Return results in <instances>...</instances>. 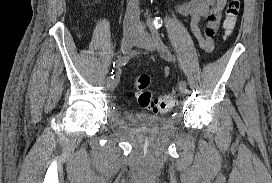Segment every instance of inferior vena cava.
<instances>
[{"instance_id":"obj_1","label":"inferior vena cava","mask_w":272,"mask_h":183,"mask_svg":"<svg viewBox=\"0 0 272 183\" xmlns=\"http://www.w3.org/2000/svg\"><path fill=\"white\" fill-rule=\"evenodd\" d=\"M140 11L139 8L136 6H132L131 4H128L125 18H124V28L125 29H131L134 28L139 19Z\"/></svg>"}]
</instances>
